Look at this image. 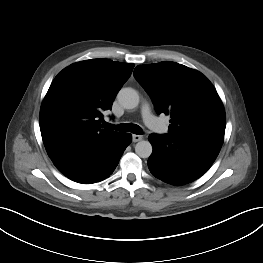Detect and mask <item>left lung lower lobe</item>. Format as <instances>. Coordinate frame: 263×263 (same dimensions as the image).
Instances as JSON below:
<instances>
[{"label": "left lung lower lobe", "mask_w": 263, "mask_h": 263, "mask_svg": "<svg viewBox=\"0 0 263 263\" xmlns=\"http://www.w3.org/2000/svg\"><path fill=\"white\" fill-rule=\"evenodd\" d=\"M150 172L172 185H184L201 177L213 164L221 144L188 135L151 134Z\"/></svg>", "instance_id": "obj_1"}]
</instances>
